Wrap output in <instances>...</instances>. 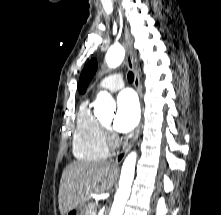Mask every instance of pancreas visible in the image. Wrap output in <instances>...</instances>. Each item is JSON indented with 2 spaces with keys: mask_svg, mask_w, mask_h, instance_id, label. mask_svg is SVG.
Masks as SVG:
<instances>
[{
  "mask_svg": "<svg viewBox=\"0 0 221 215\" xmlns=\"http://www.w3.org/2000/svg\"><path fill=\"white\" fill-rule=\"evenodd\" d=\"M96 213H97V205L92 203L85 206L83 215H96Z\"/></svg>",
  "mask_w": 221,
  "mask_h": 215,
  "instance_id": "1",
  "label": "pancreas"
}]
</instances>
